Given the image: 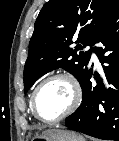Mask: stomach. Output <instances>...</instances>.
I'll list each match as a JSON object with an SVG mask.
<instances>
[{
  "label": "stomach",
  "instance_id": "obj_1",
  "mask_svg": "<svg viewBox=\"0 0 119 141\" xmlns=\"http://www.w3.org/2000/svg\"><path fill=\"white\" fill-rule=\"evenodd\" d=\"M28 137H31V135L29 134ZM35 139H42L45 141H86L83 136L76 132L60 129L46 130L42 134L36 133L32 137V141Z\"/></svg>",
  "mask_w": 119,
  "mask_h": 141
}]
</instances>
